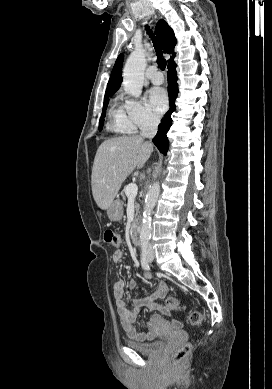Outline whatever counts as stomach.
<instances>
[{
  "mask_svg": "<svg viewBox=\"0 0 272 389\" xmlns=\"http://www.w3.org/2000/svg\"><path fill=\"white\" fill-rule=\"evenodd\" d=\"M107 215L110 220L118 221L123 216V203L120 200H115L107 209Z\"/></svg>",
  "mask_w": 272,
  "mask_h": 389,
  "instance_id": "1",
  "label": "stomach"
}]
</instances>
